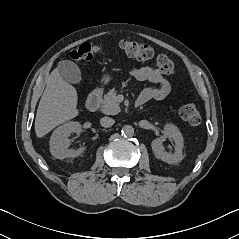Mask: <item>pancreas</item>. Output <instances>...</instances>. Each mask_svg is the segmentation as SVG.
<instances>
[{
  "mask_svg": "<svg viewBox=\"0 0 239 239\" xmlns=\"http://www.w3.org/2000/svg\"><path fill=\"white\" fill-rule=\"evenodd\" d=\"M115 90H110L103 98L101 111L107 115H116L120 112V103L117 101Z\"/></svg>",
  "mask_w": 239,
  "mask_h": 239,
  "instance_id": "1",
  "label": "pancreas"
}]
</instances>
